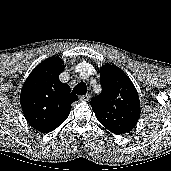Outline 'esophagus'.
<instances>
[{
    "mask_svg": "<svg viewBox=\"0 0 171 171\" xmlns=\"http://www.w3.org/2000/svg\"><path fill=\"white\" fill-rule=\"evenodd\" d=\"M90 98H91L90 94L82 95V96L79 97V99H80L81 101H83V102L89 101Z\"/></svg>",
    "mask_w": 171,
    "mask_h": 171,
    "instance_id": "34e87169",
    "label": "esophagus"
}]
</instances>
